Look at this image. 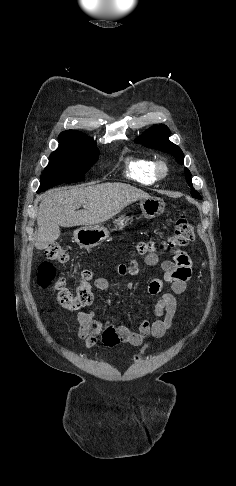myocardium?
<instances>
[{
	"label": "myocardium",
	"mask_w": 236,
	"mask_h": 486,
	"mask_svg": "<svg viewBox=\"0 0 236 486\" xmlns=\"http://www.w3.org/2000/svg\"><path fill=\"white\" fill-rule=\"evenodd\" d=\"M169 168L164 160H157L154 164V172L157 178H164L168 174Z\"/></svg>",
	"instance_id": "obj_1"
}]
</instances>
